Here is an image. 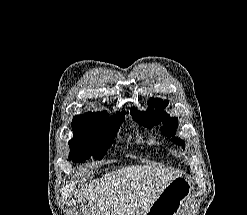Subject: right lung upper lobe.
<instances>
[{
  "mask_svg": "<svg viewBox=\"0 0 247 215\" xmlns=\"http://www.w3.org/2000/svg\"><path fill=\"white\" fill-rule=\"evenodd\" d=\"M95 114H106V115H107V113H106V112L95 113ZM120 114H124V112H122V113H120ZM117 115H119V114H117Z\"/></svg>",
  "mask_w": 247,
  "mask_h": 215,
  "instance_id": "cb5924a9",
  "label": "right lung upper lobe"
}]
</instances>
